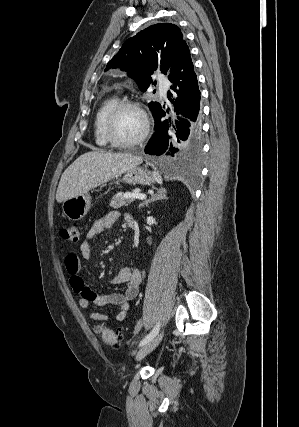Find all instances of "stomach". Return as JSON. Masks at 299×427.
<instances>
[{
    "mask_svg": "<svg viewBox=\"0 0 299 427\" xmlns=\"http://www.w3.org/2000/svg\"><path fill=\"white\" fill-rule=\"evenodd\" d=\"M121 180L128 184L151 185L155 183L156 178L150 171L136 166L126 171ZM90 207L91 195L86 192L64 201L62 210L69 220L78 221L88 213Z\"/></svg>",
    "mask_w": 299,
    "mask_h": 427,
    "instance_id": "1",
    "label": "stomach"
}]
</instances>
